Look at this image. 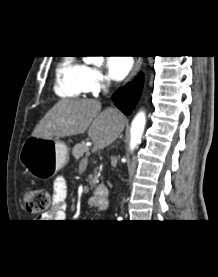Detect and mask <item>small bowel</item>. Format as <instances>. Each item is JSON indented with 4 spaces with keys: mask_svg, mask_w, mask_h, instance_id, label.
I'll return each instance as SVG.
<instances>
[{
    "mask_svg": "<svg viewBox=\"0 0 218 277\" xmlns=\"http://www.w3.org/2000/svg\"><path fill=\"white\" fill-rule=\"evenodd\" d=\"M67 182L63 176L55 179L53 185L52 207L49 212L41 216V220H54L63 222L66 219L67 209ZM92 204V200L90 202Z\"/></svg>",
    "mask_w": 218,
    "mask_h": 277,
    "instance_id": "c3829d8e",
    "label": "small bowel"
}]
</instances>
